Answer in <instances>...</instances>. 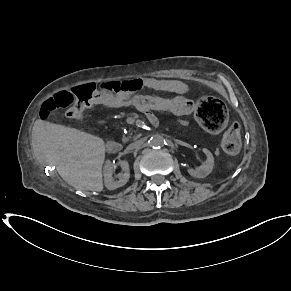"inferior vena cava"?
Here are the masks:
<instances>
[{"label": "inferior vena cava", "mask_w": 291, "mask_h": 291, "mask_svg": "<svg viewBox=\"0 0 291 291\" xmlns=\"http://www.w3.org/2000/svg\"><path fill=\"white\" fill-rule=\"evenodd\" d=\"M142 144H143V140L135 141V142L128 145V149L129 150L138 149L142 146Z\"/></svg>", "instance_id": "602c4592"}]
</instances>
